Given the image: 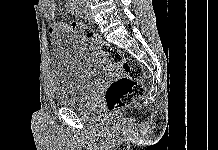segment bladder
Wrapping results in <instances>:
<instances>
[{
	"label": "bladder",
	"mask_w": 218,
	"mask_h": 150,
	"mask_svg": "<svg viewBox=\"0 0 218 150\" xmlns=\"http://www.w3.org/2000/svg\"><path fill=\"white\" fill-rule=\"evenodd\" d=\"M52 56L57 68L54 97L61 107L87 106L102 81L115 70V65L101 51L68 32L54 36Z\"/></svg>",
	"instance_id": "obj_1"
}]
</instances>
